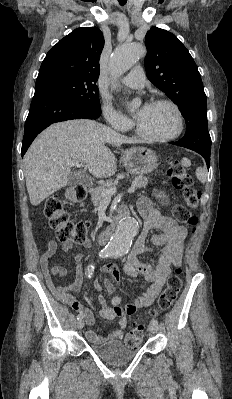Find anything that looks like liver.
<instances>
[{"label":"liver","instance_id":"1","mask_svg":"<svg viewBox=\"0 0 232 399\" xmlns=\"http://www.w3.org/2000/svg\"><path fill=\"white\" fill-rule=\"evenodd\" d=\"M138 144L92 120H69L41 132L24 156L26 188L32 205L65 188L71 172L69 160L85 164L95 178H111L117 160L105 146Z\"/></svg>","mask_w":232,"mask_h":399}]
</instances>
